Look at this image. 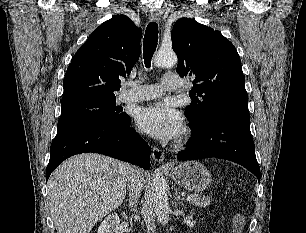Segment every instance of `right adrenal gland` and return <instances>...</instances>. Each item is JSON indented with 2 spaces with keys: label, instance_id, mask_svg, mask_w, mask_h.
<instances>
[{
  "label": "right adrenal gland",
  "instance_id": "1",
  "mask_svg": "<svg viewBox=\"0 0 306 233\" xmlns=\"http://www.w3.org/2000/svg\"><path fill=\"white\" fill-rule=\"evenodd\" d=\"M126 202H128V207L131 209V208H133L135 206L137 201L136 200H132V199H128V200H126Z\"/></svg>",
  "mask_w": 306,
  "mask_h": 233
}]
</instances>
